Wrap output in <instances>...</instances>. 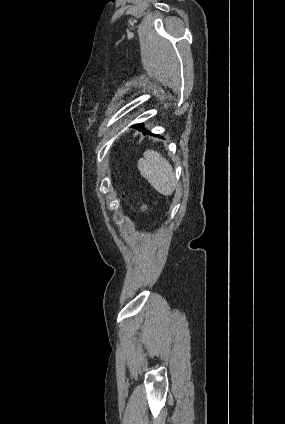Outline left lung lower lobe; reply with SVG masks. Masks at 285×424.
Wrapping results in <instances>:
<instances>
[{"instance_id":"1","label":"left lung lower lobe","mask_w":285,"mask_h":424,"mask_svg":"<svg viewBox=\"0 0 285 424\" xmlns=\"http://www.w3.org/2000/svg\"><path fill=\"white\" fill-rule=\"evenodd\" d=\"M138 129H140V130H143V124L142 123H140V124H136L135 125ZM144 133H149L148 131H145Z\"/></svg>"}]
</instances>
